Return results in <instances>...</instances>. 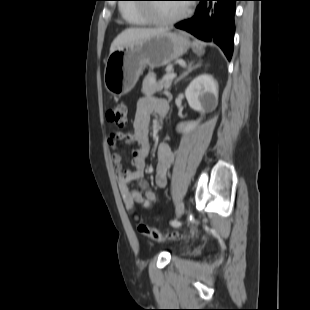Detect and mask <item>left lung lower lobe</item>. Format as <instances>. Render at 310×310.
<instances>
[{
	"label": "left lung lower lobe",
	"mask_w": 310,
	"mask_h": 310,
	"mask_svg": "<svg viewBox=\"0 0 310 310\" xmlns=\"http://www.w3.org/2000/svg\"><path fill=\"white\" fill-rule=\"evenodd\" d=\"M199 5L196 13L190 19L175 24L178 29L186 30L204 41L216 43L230 60L234 42L235 3L238 0H197ZM210 1H217L214 13L208 16L211 8Z\"/></svg>",
	"instance_id": "1"
}]
</instances>
